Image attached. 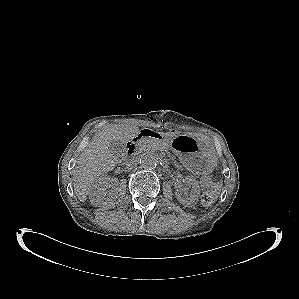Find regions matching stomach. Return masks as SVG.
Returning <instances> with one entry per match:
<instances>
[{
    "label": "stomach",
    "instance_id": "0dacf381",
    "mask_svg": "<svg viewBox=\"0 0 299 299\" xmlns=\"http://www.w3.org/2000/svg\"><path fill=\"white\" fill-rule=\"evenodd\" d=\"M163 142L179 155L190 170L205 173L211 169L212 155L197 138L187 135L164 136Z\"/></svg>",
    "mask_w": 299,
    "mask_h": 299
}]
</instances>
